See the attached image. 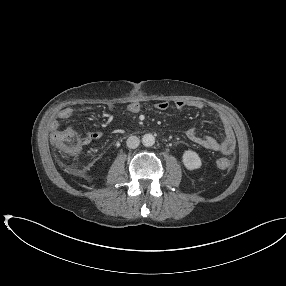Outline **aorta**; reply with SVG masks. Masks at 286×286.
I'll return each instance as SVG.
<instances>
[{
	"label": "aorta",
	"instance_id": "obj_1",
	"mask_svg": "<svg viewBox=\"0 0 286 286\" xmlns=\"http://www.w3.org/2000/svg\"><path fill=\"white\" fill-rule=\"evenodd\" d=\"M142 143L146 147H151L155 144V137L152 134L147 133V134L143 135Z\"/></svg>",
	"mask_w": 286,
	"mask_h": 286
}]
</instances>
